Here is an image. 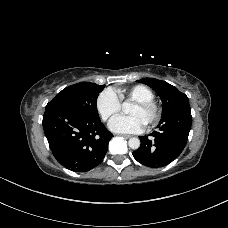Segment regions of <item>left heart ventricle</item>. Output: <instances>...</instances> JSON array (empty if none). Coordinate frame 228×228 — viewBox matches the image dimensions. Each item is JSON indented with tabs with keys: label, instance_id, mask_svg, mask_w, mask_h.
<instances>
[{
	"label": "left heart ventricle",
	"instance_id": "1",
	"mask_svg": "<svg viewBox=\"0 0 228 228\" xmlns=\"http://www.w3.org/2000/svg\"><path fill=\"white\" fill-rule=\"evenodd\" d=\"M130 115H137L139 116L143 122L146 124L151 118V112L149 110L142 109L135 104H133L129 110Z\"/></svg>",
	"mask_w": 228,
	"mask_h": 228
}]
</instances>
